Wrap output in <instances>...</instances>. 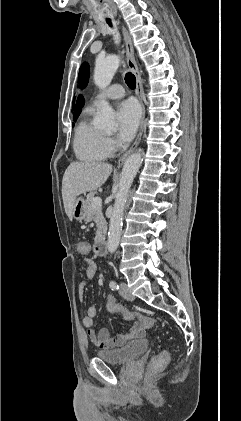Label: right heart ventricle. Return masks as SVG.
<instances>
[{
    "label": "right heart ventricle",
    "instance_id": "obj_1",
    "mask_svg": "<svg viewBox=\"0 0 241 421\" xmlns=\"http://www.w3.org/2000/svg\"><path fill=\"white\" fill-rule=\"evenodd\" d=\"M88 109L78 123L73 142V149L78 159L86 162H99L107 159L111 150L107 144V137L94 127L89 119Z\"/></svg>",
    "mask_w": 241,
    "mask_h": 421
}]
</instances>
